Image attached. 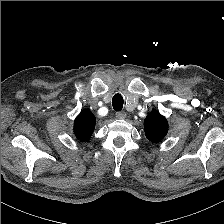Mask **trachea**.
<instances>
[{
  "mask_svg": "<svg viewBox=\"0 0 224 224\" xmlns=\"http://www.w3.org/2000/svg\"><path fill=\"white\" fill-rule=\"evenodd\" d=\"M123 97L121 94H115L112 98V105L115 111H121L123 108Z\"/></svg>",
  "mask_w": 224,
  "mask_h": 224,
  "instance_id": "obj_1",
  "label": "trachea"
}]
</instances>
